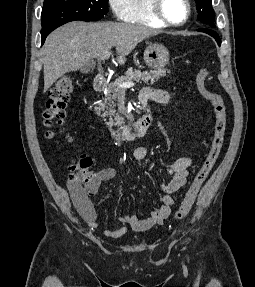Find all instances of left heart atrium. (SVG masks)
Wrapping results in <instances>:
<instances>
[{"mask_svg": "<svg viewBox=\"0 0 255 287\" xmlns=\"http://www.w3.org/2000/svg\"><path fill=\"white\" fill-rule=\"evenodd\" d=\"M114 33H137V32H114ZM112 39H138V38H112ZM115 48H135V47H115Z\"/></svg>", "mask_w": 255, "mask_h": 287, "instance_id": "left-heart-atrium-1", "label": "left heart atrium"}]
</instances>
